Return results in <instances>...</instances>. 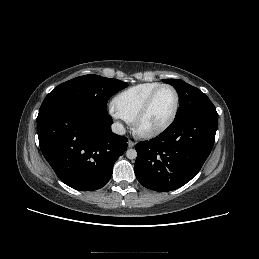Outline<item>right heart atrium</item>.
I'll return each instance as SVG.
<instances>
[{
  "label": "right heart atrium",
  "mask_w": 259,
  "mask_h": 259,
  "mask_svg": "<svg viewBox=\"0 0 259 259\" xmlns=\"http://www.w3.org/2000/svg\"><path fill=\"white\" fill-rule=\"evenodd\" d=\"M110 115L111 117L116 120V121H119V122H124L126 121L116 110L115 108H111L110 109Z\"/></svg>",
  "instance_id": "right-heart-atrium-1"
}]
</instances>
